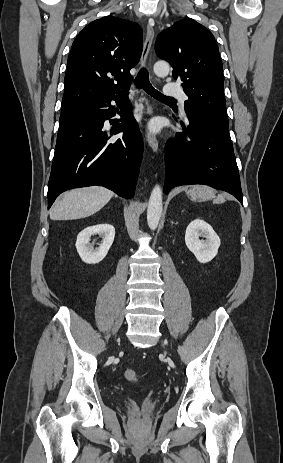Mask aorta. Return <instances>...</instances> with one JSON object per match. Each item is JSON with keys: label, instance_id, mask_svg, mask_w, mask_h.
Segmentation results:
<instances>
[{"label": "aorta", "instance_id": "1", "mask_svg": "<svg viewBox=\"0 0 283 463\" xmlns=\"http://www.w3.org/2000/svg\"><path fill=\"white\" fill-rule=\"evenodd\" d=\"M154 73L159 77L167 76L170 70L169 64L165 61H158L153 67ZM163 210L162 189L156 185L150 195L147 209V223L151 230H155L159 224Z\"/></svg>", "mask_w": 283, "mask_h": 463}]
</instances>
